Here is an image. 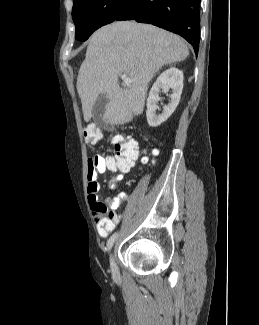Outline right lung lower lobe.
<instances>
[{
  "label": "right lung lower lobe",
  "mask_w": 259,
  "mask_h": 325,
  "mask_svg": "<svg viewBox=\"0 0 259 325\" xmlns=\"http://www.w3.org/2000/svg\"><path fill=\"white\" fill-rule=\"evenodd\" d=\"M201 0H127L115 20H136L185 38L198 52Z\"/></svg>",
  "instance_id": "right-lung-lower-lobe-1"
}]
</instances>
